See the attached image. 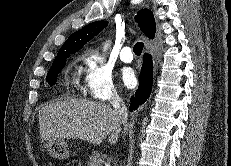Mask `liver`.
I'll use <instances>...</instances> for the list:
<instances>
[{
	"mask_svg": "<svg viewBox=\"0 0 231 166\" xmlns=\"http://www.w3.org/2000/svg\"><path fill=\"white\" fill-rule=\"evenodd\" d=\"M122 124L115 110L96 101L67 99L39 111L42 141L79 138L98 145L108 136L112 145L118 141Z\"/></svg>",
	"mask_w": 231,
	"mask_h": 166,
	"instance_id": "liver-1",
	"label": "liver"
}]
</instances>
